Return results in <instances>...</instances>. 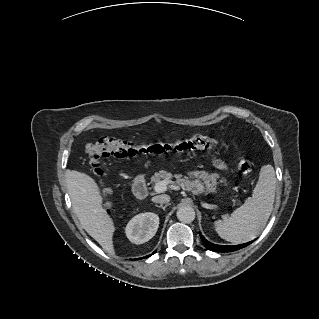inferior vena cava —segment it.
Listing matches in <instances>:
<instances>
[{
	"label": "inferior vena cava",
	"instance_id": "602c4592",
	"mask_svg": "<svg viewBox=\"0 0 319 319\" xmlns=\"http://www.w3.org/2000/svg\"><path fill=\"white\" fill-rule=\"evenodd\" d=\"M152 201L155 203L164 204V203H168L170 201V197H169V195L162 194V195L154 196L152 198Z\"/></svg>",
	"mask_w": 319,
	"mask_h": 319
}]
</instances>
